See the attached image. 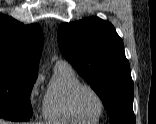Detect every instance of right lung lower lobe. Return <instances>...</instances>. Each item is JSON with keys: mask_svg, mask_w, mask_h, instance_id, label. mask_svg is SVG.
Segmentation results:
<instances>
[{"mask_svg": "<svg viewBox=\"0 0 156 124\" xmlns=\"http://www.w3.org/2000/svg\"><path fill=\"white\" fill-rule=\"evenodd\" d=\"M0 118L8 119L11 121H27V120H29L28 118H25V117L11 115V114H5V113H0Z\"/></svg>", "mask_w": 156, "mask_h": 124, "instance_id": "1", "label": "right lung lower lobe"}]
</instances>
